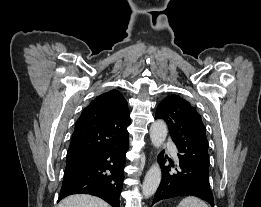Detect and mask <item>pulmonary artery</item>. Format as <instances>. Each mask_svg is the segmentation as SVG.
Wrapping results in <instances>:
<instances>
[{"label":"pulmonary artery","mask_w":261,"mask_h":207,"mask_svg":"<svg viewBox=\"0 0 261 207\" xmlns=\"http://www.w3.org/2000/svg\"><path fill=\"white\" fill-rule=\"evenodd\" d=\"M164 147L175 152L174 145L171 142H165Z\"/></svg>","instance_id":"1"}]
</instances>
